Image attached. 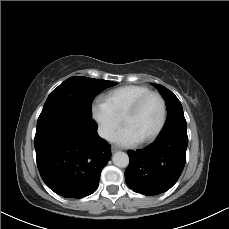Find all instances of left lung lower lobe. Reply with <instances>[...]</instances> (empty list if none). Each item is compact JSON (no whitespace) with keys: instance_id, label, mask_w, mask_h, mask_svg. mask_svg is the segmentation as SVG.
<instances>
[{"instance_id":"obj_1","label":"left lung lower lobe","mask_w":229,"mask_h":229,"mask_svg":"<svg viewBox=\"0 0 229 229\" xmlns=\"http://www.w3.org/2000/svg\"><path fill=\"white\" fill-rule=\"evenodd\" d=\"M187 145L186 128L177 127L143 150L128 151L130 163L125 180L129 188L143 195L167 191L183 171Z\"/></svg>"}]
</instances>
